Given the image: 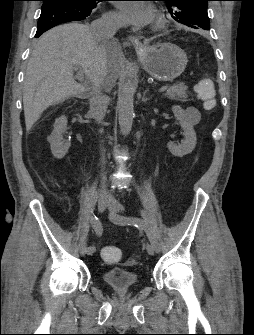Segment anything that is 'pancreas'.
Segmentation results:
<instances>
[{"label": "pancreas", "mask_w": 254, "mask_h": 335, "mask_svg": "<svg viewBox=\"0 0 254 335\" xmlns=\"http://www.w3.org/2000/svg\"><path fill=\"white\" fill-rule=\"evenodd\" d=\"M188 87L184 83L174 84L169 86L166 90L165 96L176 101H186Z\"/></svg>", "instance_id": "cf45deb5"}]
</instances>
